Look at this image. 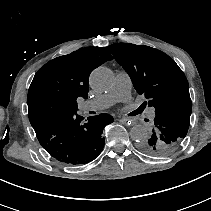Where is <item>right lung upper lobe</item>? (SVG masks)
I'll use <instances>...</instances> for the list:
<instances>
[{
  "label": "right lung upper lobe",
  "mask_w": 211,
  "mask_h": 211,
  "mask_svg": "<svg viewBox=\"0 0 211 211\" xmlns=\"http://www.w3.org/2000/svg\"><path fill=\"white\" fill-rule=\"evenodd\" d=\"M112 60L103 47H86L57 57L38 70L27 97L34 126L77 111V98H87L90 73Z\"/></svg>",
  "instance_id": "cb5924a9"
}]
</instances>
